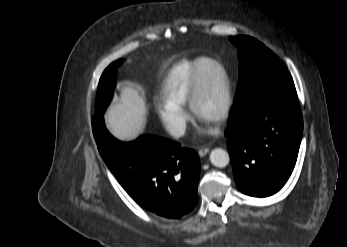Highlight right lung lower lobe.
<instances>
[{"label": "right lung lower lobe", "mask_w": 347, "mask_h": 247, "mask_svg": "<svg viewBox=\"0 0 347 247\" xmlns=\"http://www.w3.org/2000/svg\"><path fill=\"white\" fill-rule=\"evenodd\" d=\"M93 134L103 160L126 192L143 208L179 219L198 203L200 162L194 150L155 135L121 142L93 119Z\"/></svg>", "instance_id": "98d812e1"}]
</instances>
